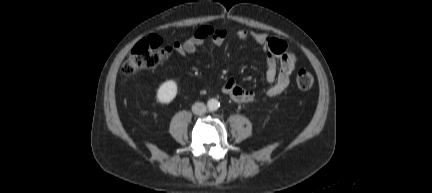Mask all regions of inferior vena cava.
Wrapping results in <instances>:
<instances>
[{"label":"inferior vena cava","instance_id":"1","mask_svg":"<svg viewBox=\"0 0 432 193\" xmlns=\"http://www.w3.org/2000/svg\"><path fill=\"white\" fill-rule=\"evenodd\" d=\"M206 105L202 102H196L192 106V112L196 115H201L206 112Z\"/></svg>","mask_w":432,"mask_h":193}]
</instances>
